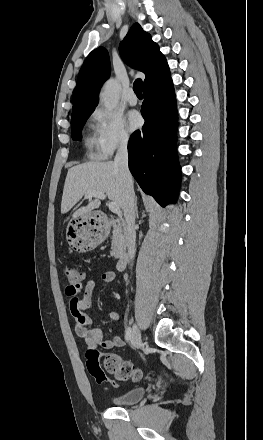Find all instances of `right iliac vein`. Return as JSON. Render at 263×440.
<instances>
[{"mask_svg": "<svg viewBox=\"0 0 263 440\" xmlns=\"http://www.w3.org/2000/svg\"><path fill=\"white\" fill-rule=\"evenodd\" d=\"M132 343L135 348H139L141 346V332L139 327L135 324L132 330Z\"/></svg>", "mask_w": 263, "mask_h": 440, "instance_id": "1", "label": "right iliac vein"}]
</instances>
